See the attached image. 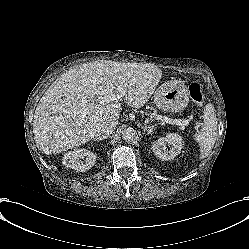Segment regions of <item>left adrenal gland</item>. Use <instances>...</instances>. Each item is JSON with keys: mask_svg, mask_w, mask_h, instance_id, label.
<instances>
[{"mask_svg": "<svg viewBox=\"0 0 249 249\" xmlns=\"http://www.w3.org/2000/svg\"><path fill=\"white\" fill-rule=\"evenodd\" d=\"M156 128V125H153V126H147V125H143L142 126V129L144 131H146L148 134L152 133L153 132V129Z\"/></svg>", "mask_w": 249, "mask_h": 249, "instance_id": "1", "label": "left adrenal gland"}]
</instances>
